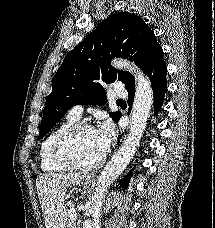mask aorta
I'll return each mask as SVG.
<instances>
[{
    "instance_id": "762f6f07",
    "label": "aorta",
    "mask_w": 215,
    "mask_h": 228,
    "mask_svg": "<svg viewBox=\"0 0 215 228\" xmlns=\"http://www.w3.org/2000/svg\"><path fill=\"white\" fill-rule=\"evenodd\" d=\"M112 66L120 68V70H127L134 76L135 96L128 138L98 176L97 188L92 200V228H101V210L105 194L108 192L107 188L126 170L129 162H131L137 146L140 144L143 132H145L154 100L151 82L140 68L128 60H113Z\"/></svg>"
}]
</instances>
